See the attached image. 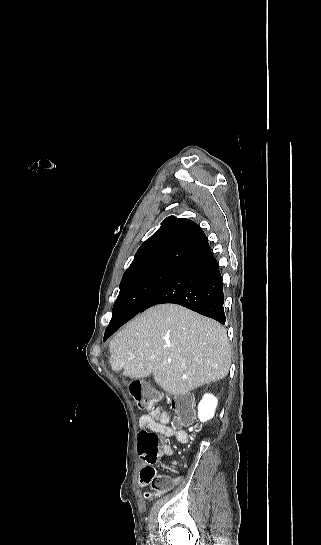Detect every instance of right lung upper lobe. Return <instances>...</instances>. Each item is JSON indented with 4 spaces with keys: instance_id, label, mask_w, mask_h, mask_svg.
Listing matches in <instances>:
<instances>
[{
    "instance_id": "obj_1",
    "label": "right lung upper lobe",
    "mask_w": 321,
    "mask_h": 545,
    "mask_svg": "<svg viewBox=\"0 0 321 545\" xmlns=\"http://www.w3.org/2000/svg\"><path fill=\"white\" fill-rule=\"evenodd\" d=\"M207 246L206 235L195 222L170 216L140 246L126 272L153 265L178 268Z\"/></svg>"
}]
</instances>
